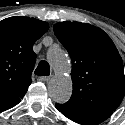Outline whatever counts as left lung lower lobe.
Returning <instances> with one entry per match:
<instances>
[{
	"label": "left lung lower lobe",
	"instance_id": "0a47b994",
	"mask_svg": "<svg viewBox=\"0 0 125 125\" xmlns=\"http://www.w3.org/2000/svg\"><path fill=\"white\" fill-rule=\"evenodd\" d=\"M56 108L70 120L83 125H96L105 121L112 115L113 111H99L94 113L71 112L64 110L60 104L55 105Z\"/></svg>",
	"mask_w": 125,
	"mask_h": 125
}]
</instances>
